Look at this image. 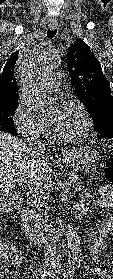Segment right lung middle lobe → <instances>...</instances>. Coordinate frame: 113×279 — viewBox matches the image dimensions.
Masks as SVG:
<instances>
[{
    "mask_svg": "<svg viewBox=\"0 0 113 279\" xmlns=\"http://www.w3.org/2000/svg\"><path fill=\"white\" fill-rule=\"evenodd\" d=\"M16 106H10L0 109V131L10 133L12 135L17 134L12 120L13 114L15 113Z\"/></svg>",
    "mask_w": 113,
    "mask_h": 279,
    "instance_id": "dd1d6c3e",
    "label": "right lung middle lobe"
}]
</instances>
